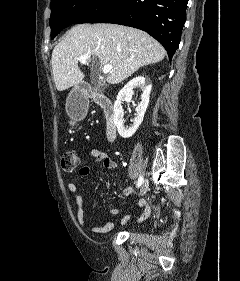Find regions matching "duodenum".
Here are the masks:
<instances>
[{
    "label": "duodenum",
    "mask_w": 240,
    "mask_h": 281,
    "mask_svg": "<svg viewBox=\"0 0 240 281\" xmlns=\"http://www.w3.org/2000/svg\"><path fill=\"white\" fill-rule=\"evenodd\" d=\"M89 100L94 101L103 110L106 119V137L108 140L113 141L116 137V124L111 100L104 95L89 92L86 87H83L79 95V102L80 104H85Z\"/></svg>",
    "instance_id": "410a0bca"
}]
</instances>
